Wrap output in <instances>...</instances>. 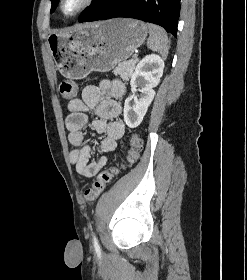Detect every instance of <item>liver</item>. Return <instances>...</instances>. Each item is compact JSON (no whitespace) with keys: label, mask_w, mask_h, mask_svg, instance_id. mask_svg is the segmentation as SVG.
Here are the masks:
<instances>
[{"label":"liver","mask_w":247,"mask_h":280,"mask_svg":"<svg viewBox=\"0 0 247 280\" xmlns=\"http://www.w3.org/2000/svg\"><path fill=\"white\" fill-rule=\"evenodd\" d=\"M83 25H78V26H76V28H80V27H82Z\"/></svg>","instance_id":"6515ba94"}]
</instances>
